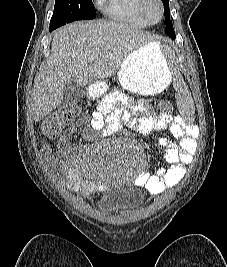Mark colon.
I'll return each instance as SVG.
<instances>
[{"label": "colon", "instance_id": "5ec220e1", "mask_svg": "<svg viewBox=\"0 0 227 267\" xmlns=\"http://www.w3.org/2000/svg\"><path fill=\"white\" fill-rule=\"evenodd\" d=\"M170 105H172V100H161V109H170ZM79 113L80 108L78 106H73L50 114L42 123V135L49 139L59 137L63 130L79 115Z\"/></svg>", "mask_w": 227, "mask_h": 267}]
</instances>
